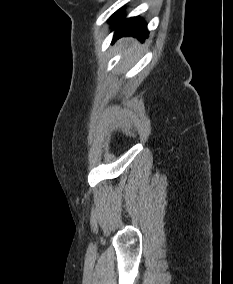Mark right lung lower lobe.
Returning a JSON list of instances; mask_svg holds the SVG:
<instances>
[{"label": "right lung lower lobe", "instance_id": "98d812e1", "mask_svg": "<svg viewBox=\"0 0 233 284\" xmlns=\"http://www.w3.org/2000/svg\"><path fill=\"white\" fill-rule=\"evenodd\" d=\"M111 19L113 20L112 24L115 25L114 28H116L113 42L122 36L128 35L138 37L141 41L148 37L146 23L139 17L124 19L122 17V9H120L113 14Z\"/></svg>", "mask_w": 233, "mask_h": 284}]
</instances>
